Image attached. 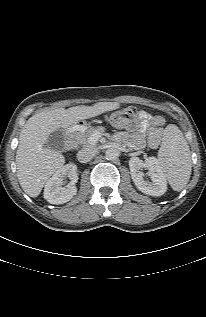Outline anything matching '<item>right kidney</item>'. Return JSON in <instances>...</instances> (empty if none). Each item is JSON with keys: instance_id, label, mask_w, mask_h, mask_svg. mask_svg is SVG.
Listing matches in <instances>:
<instances>
[{"instance_id": "obj_1", "label": "right kidney", "mask_w": 206, "mask_h": 317, "mask_svg": "<svg viewBox=\"0 0 206 317\" xmlns=\"http://www.w3.org/2000/svg\"><path fill=\"white\" fill-rule=\"evenodd\" d=\"M71 181L62 187L65 178ZM78 180L77 167L75 164H66L58 169L53 176L46 182L44 189V198L50 204H63L70 201L77 193L75 186Z\"/></svg>"}]
</instances>
